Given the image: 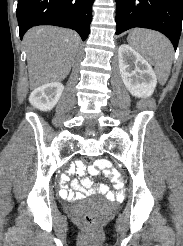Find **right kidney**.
<instances>
[{
	"label": "right kidney",
	"mask_w": 183,
	"mask_h": 246,
	"mask_svg": "<svg viewBox=\"0 0 183 246\" xmlns=\"http://www.w3.org/2000/svg\"><path fill=\"white\" fill-rule=\"evenodd\" d=\"M64 90L63 84L51 82L36 88L29 96V102L42 111L55 107Z\"/></svg>",
	"instance_id": "obj_1"
}]
</instances>
